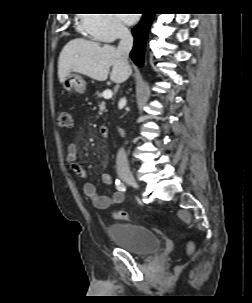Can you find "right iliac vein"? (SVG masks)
<instances>
[{"instance_id": "right-iliac-vein-1", "label": "right iliac vein", "mask_w": 252, "mask_h": 303, "mask_svg": "<svg viewBox=\"0 0 252 303\" xmlns=\"http://www.w3.org/2000/svg\"><path fill=\"white\" fill-rule=\"evenodd\" d=\"M121 179L131 185L134 188H138V183L136 182L135 178L133 177L132 174L125 173L120 175Z\"/></svg>"}]
</instances>
